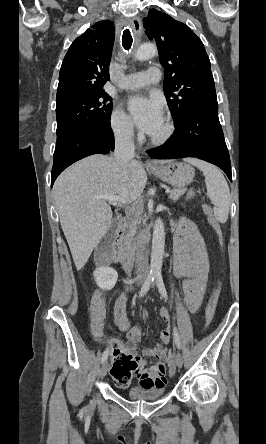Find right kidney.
I'll list each match as a JSON object with an SVG mask.
<instances>
[{"mask_svg":"<svg viewBox=\"0 0 266 444\" xmlns=\"http://www.w3.org/2000/svg\"><path fill=\"white\" fill-rule=\"evenodd\" d=\"M94 278L96 281V284L102 289V290H111L118 278V274L115 269L108 267V266H100L96 268L94 271Z\"/></svg>","mask_w":266,"mask_h":444,"instance_id":"right-kidney-1","label":"right kidney"}]
</instances>
